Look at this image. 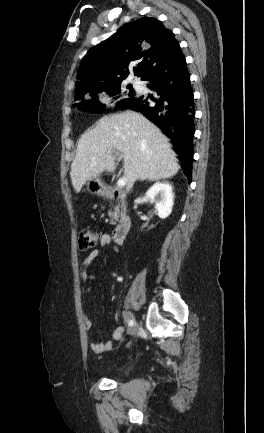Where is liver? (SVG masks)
Wrapping results in <instances>:
<instances>
[{
  "instance_id": "1",
  "label": "liver",
  "mask_w": 264,
  "mask_h": 433,
  "mask_svg": "<svg viewBox=\"0 0 264 433\" xmlns=\"http://www.w3.org/2000/svg\"><path fill=\"white\" fill-rule=\"evenodd\" d=\"M108 150L122 153L128 189L137 180L171 178L180 169L168 139L139 113L125 111L101 118L77 145L71 164V181L78 193L86 181L104 172H114L115 158Z\"/></svg>"
}]
</instances>
